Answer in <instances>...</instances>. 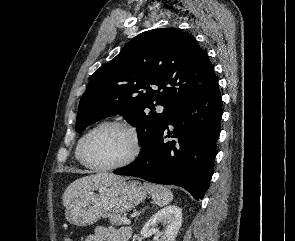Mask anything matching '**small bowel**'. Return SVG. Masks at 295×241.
Here are the masks:
<instances>
[{
    "instance_id": "1",
    "label": "small bowel",
    "mask_w": 295,
    "mask_h": 241,
    "mask_svg": "<svg viewBox=\"0 0 295 241\" xmlns=\"http://www.w3.org/2000/svg\"><path fill=\"white\" fill-rule=\"evenodd\" d=\"M130 237L131 230L128 228L114 229L106 226H97L93 234L89 235L85 241H129Z\"/></svg>"
}]
</instances>
